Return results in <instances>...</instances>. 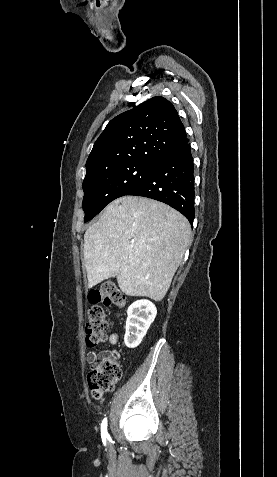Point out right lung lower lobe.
<instances>
[{
    "label": "right lung lower lobe",
    "mask_w": 277,
    "mask_h": 477,
    "mask_svg": "<svg viewBox=\"0 0 277 477\" xmlns=\"http://www.w3.org/2000/svg\"><path fill=\"white\" fill-rule=\"evenodd\" d=\"M193 158L189 142L155 163L149 175L126 195L152 198L182 213L191 223L194 212Z\"/></svg>",
    "instance_id": "obj_1"
}]
</instances>
